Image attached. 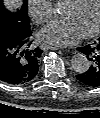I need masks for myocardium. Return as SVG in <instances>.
<instances>
[{
	"label": "myocardium",
	"instance_id": "obj_1",
	"mask_svg": "<svg viewBox=\"0 0 100 118\" xmlns=\"http://www.w3.org/2000/svg\"><path fill=\"white\" fill-rule=\"evenodd\" d=\"M84 0H70L69 3L74 5V6H78L80 5ZM100 3V0H99ZM100 32V6H99V17H98V22L95 26V28L87 33H84L83 36L85 38H93L95 36H97Z\"/></svg>",
	"mask_w": 100,
	"mask_h": 118
}]
</instances>
